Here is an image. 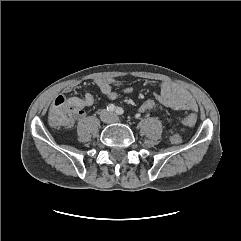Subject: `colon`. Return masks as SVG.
I'll use <instances>...</instances> for the list:
<instances>
[{"instance_id":"1","label":"colon","mask_w":241,"mask_h":241,"mask_svg":"<svg viewBox=\"0 0 241 241\" xmlns=\"http://www.w3.org/2000/svg\"><path fill=\"white\" fill-rule=\"evenodd\" d=\"M139 110L143 113L153 114L157 112V104L154 100L148 99L141 103ZM75 108L68 102L66 97L58 96L50 108L48 120L49 123L56 128L69 127L72 124L75 114ZM197 122L195 114H189L182 120L185 127H192ZM172 144H179L182 142L180 134H174L170 137Z\"/></svg>"}]
</instances>
